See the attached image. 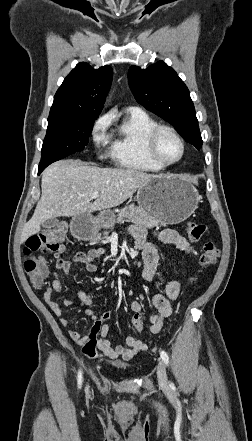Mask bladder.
<instances>
[{
  "label": "bladder",
  "mask_w": 252,
  "mask_h": 441,
  "mask_svg": "<svg viewBox=\"0 0 252 441\" xmlns=\"http://www.w3.org/2000/svg\"><path fill=\"white\" fill-rule=\"evenodd\" d=\"M116 366H118V367H124L123 365H120V364H116Z\"/></svg>",
  "instance_id": "1"
}]
</instances>
